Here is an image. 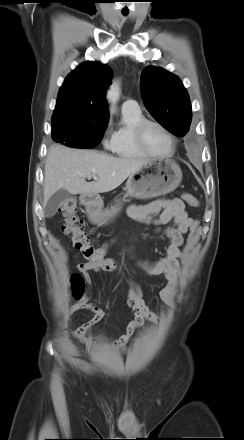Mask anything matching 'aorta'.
<instances>
[{
	"instance_id": "762f6f07",
	"label": "aorta",
	"mask_w": 244,
	"mask_h": 440,
	"mask_svg": "<svg viewBox=\"0 0 244 440\" xmlns=\"http://www.w3.org/2000/svg\"><path fill=\"white\" fill-rule=\"evenodd\" d=\"M120 97V86L118 82L112 83L110 88L107 91L106 98L108 103L110 104V110L114 111V106Z\"/></svg>"
}]
</instances>
